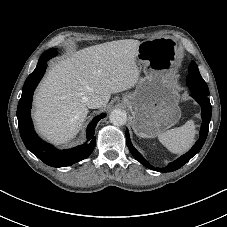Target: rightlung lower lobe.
<instances>
[{
	"label": "right lung lower lobe",
	"instance_id": "1",
	"mask_svg": "<svg viewBox=\"0 0 227 227\" xmlns=\"http://www.w3.org/2000/svg\"><path fill=\"white\" fill-rule=\"evenodd\" d=\"M48 60L47 58H41L36 69L24 83L22 96L17 108L18 126L26 148L36 157L49 166L65 167L87 158L92 153L96 145L95 127L98 121L105 117V114L96 116L88 125L87 141L90 142L89 144L86 143L69 150H57L52 145L42 141L34 131L30 109L33 92L45 73Z\"/></svg>",
	"mask_w": 227,
	"mask_h": 227
}]
</instances>
